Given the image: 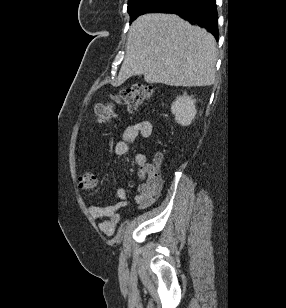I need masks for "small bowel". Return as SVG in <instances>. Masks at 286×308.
Wrapping results in <instances>:
<instances>
[{
	"label": "small bowel",
	"instance_id": "1",
	"mask_svg": "<svg viewBox=\"0 0 286 308\" xmlns=\"http://www.w3.org/2000/svg\"><path fill=\"white\" fill-rule=\"evenodd\" d=\"M152 134L153 125L149 121L137 122L128 126L123 133L122 139L115 147L116 155H125L129 150L130 144L137 137L149 138ZM160 160V156H157L154 163L151 164L148 162L144 152H137L135 154V163L139 167L138 177L140 184L134 204L138 209H146L152 206L160 196L163 185L162 178L159 175L153 174V172L157 171ZM116 197L118 199L116 204L92 205L88 208V212L93 218L101 220L99 229L106 235H112L121 220L118 210L127 204V190L123 187L117 188Z\"/></svg>",
	"mask_w": 286,
	"mask_h": 308
}]
</instances>
